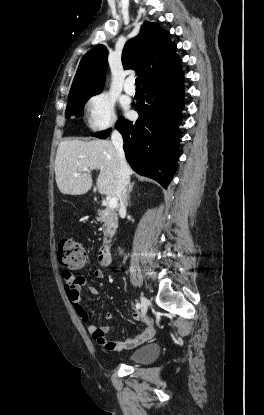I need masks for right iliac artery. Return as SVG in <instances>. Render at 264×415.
I'll list each match as a JSON object with an SVG mask.
<instances>
[{
	"label": "right iliac artery",
	"instance_id": "obj_1",
	"mask_svg": "<svg viewBox=\"0 0 264 415\" xmlns=\"http://www.w3.org/2000/svg\"><path fill=\"white\" fill-rule=\"evenodd\" d=\"M140 307H141L140 303H137V304H136V308H137V309H140Z\"/></svg>",
	"mask_w": 264,
	"mask_h": 415
}]
</instances>
